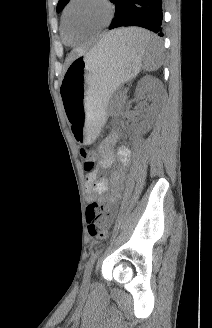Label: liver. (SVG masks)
I'll use <instances>...</instances> for the list:
<instances>
[{
  "label": "liver",
  "mask_w": 212,
  "mask_h": 328,
  "mask_svg": "<svg viewBox=\"0 0 212 328\" xmlns=\"http://www.w3.org/2000/svg\"><path fill=\"white\" fill-rule=\"evenodd\" d=\"M131 33V29L127 28V29H121V30H115L112 31L108 34H106L105 36H110V35H120L122 37V40L125 42H128L129 36ZM86 51L84 49H80V48H76L74 49L71 54H70V58L68 60L69 63H71L76 57H78L79 55L84 54Z\"/></svg>",
  "instance_id": "liver-1"
}]
</instances>
